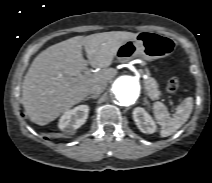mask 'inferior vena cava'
<instances>
[{
	"label": "inferior vena cava",
	"instance_id": "obj_1",
	"mask_svg": "<svg viewBox=\"0 0 212 183\" xmlns=\"http://www.w3.org/2000/svg\"><path fill=\"white\" fill-rule=\"evenodd\" d=\"M106 85L104 83L95 84L90 88V93L93 95H100L105 89Z\"/></svg>",
	"mask_w": 212,
	"mask_h": 183
}]
</instances>
